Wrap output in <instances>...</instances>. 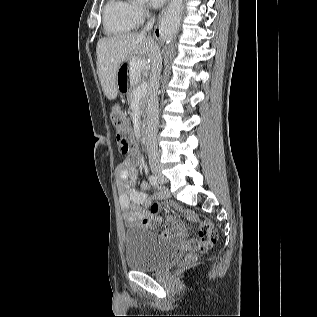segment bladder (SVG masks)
Returning <instances> with one entry per match:
<instances>
[{
	"mask_svg": "<svg viewBox=\"0 0 317 317\" xmlns=\"http://www.w3.org/2000/svg\"><path fill=\"white\" fill-rule=\"evenodd\" d=\"M179 246L148 232L143 226H131L124 234L126 266L135 271H154L173 260Z\"/></svg>",
	"mask_w": 317,
	"mask_h": 317,
	"instance_id": "bladder-1",
	"label": "bladder"
}]
</instances>
